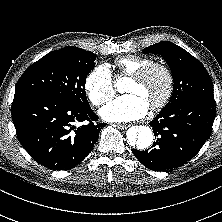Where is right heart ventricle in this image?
Wrapping results in <instances>:
<instances>
[{"label":"right heart ventricle","instance_id":"e07e8e85","mask_svg":"<svg viewBox=\"0 0 222 222\" xmlns=\"http://www.w3.org/2000/svg\"><path fill=\"white\" fill-rule=\"evenodd\" d=\"M153 62L152 59L146 57L128 56L116 60L115 64L121 76H131Z\"/></svg>","mask_w":222,"mask_h":222}]
</instances>
